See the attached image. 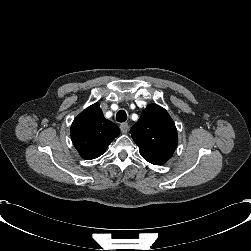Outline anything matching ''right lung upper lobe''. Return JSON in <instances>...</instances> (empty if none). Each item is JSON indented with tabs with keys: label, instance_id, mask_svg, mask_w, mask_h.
I'll list each match as a JSON object with an SVG mask.
<instances>
[{
	"label": "right lung upper lobe",
	"instance_id": "right-lung-upper-lobe-1",
	"mask_svg": "<svg viewBox=\"0 0 251 251\" xmlns=\"http://www.w3.org/2000/svg\"><path fill=\"white\" fill-rule=\"evenodd\" d=\"M119 133V128L104 118L98 103L80 113L71 126L72 142L81 157L87 160L102 155Z\"/></svg>",
	"mask_w": 251,
	"mask_h": 251
}]
</instances>
